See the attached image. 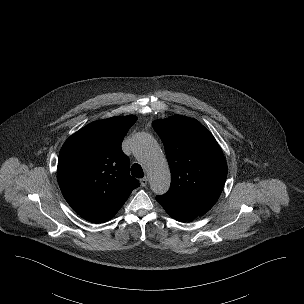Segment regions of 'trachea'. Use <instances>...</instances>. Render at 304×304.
<instances>
[{
    "instance_id": "3493384b",
    "label": "trachea",
    "mask_w": 304,
    "mask_h": 304,
    "mask_svg": "<svg viewBox=\"0 0 304 304\" xmlns=\"http://www.w3.org/2000/svg\"><path fill=\"white\" fill-rule=\"evenodd\" d=\"M131 174L136 178H143L144 176L142 167L137 163L132 165Z\"/></svg>"
}]
</instances>
